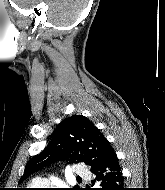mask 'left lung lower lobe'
<instances>
[{
	"mask_svg": "<svg viewBox=\"0 0 165 190\" xmlns=\"http://www.w3.org/2000/svg\"><path fill=\"white\" fill-rule=\"evenodd\" d=\"M91 172L95 175L93 182L97 181L101 186L98 190H124L123 176L115 152L91 169Z\"/></svg>",
	"mask_w": 165,
	"mask_h": 190,
	"instance_id": "left-lung-lower-lobe-1",
	"label": "left lung lower lobe"
}]
</instances>
